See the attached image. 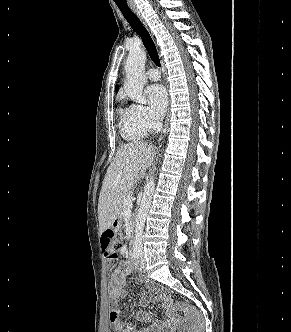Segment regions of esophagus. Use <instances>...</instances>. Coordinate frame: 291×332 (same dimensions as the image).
I'll return each instance as SVG.
<instances>
[{
  "mask_svg": "<svg viewBox=\"0 0 291 332\" xmlns=\"http://www.w3.org/2000/svg\"><path fill=\"white\" fill-rule=\"evenodd\" d=\"M130 8L132 9V11L137 15V17L140 19V21L147 27V24L143 18V15L141 14V12L139 11V9L133 4V3H129ZM169 117H170V111L168 110L165 122H164V126L163 129L161 131L160 137H159V144H161L166 136L167 130H168V125H169Z\"/></svg>",
  "mask_w": 291,
  "mask_h": 332,
  "instance_id": "obj_1",
  "label": "esophagus"
}]
</instances>
